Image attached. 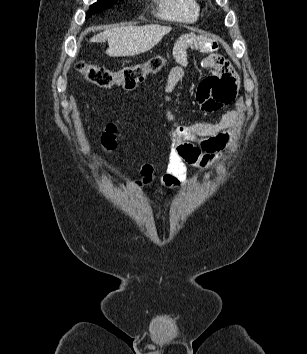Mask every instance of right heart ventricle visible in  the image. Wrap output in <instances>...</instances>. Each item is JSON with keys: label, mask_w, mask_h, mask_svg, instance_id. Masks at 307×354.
<instances>
[{"label": "right heart ventricle", "mask_w": 307, "mask_h": 354, "mask_svg": "<svg viewBox=\"0 0 307 354\" xmlns=\"http://www.w3.org/2000/svg\"><path fill=\"white\" fill-rule=\"evenodd\" d=\"M157 16L161 19L192 23L199 16V3L197 0H156Z\"/></svg>", "instance_id": "1"}]
</instances>
